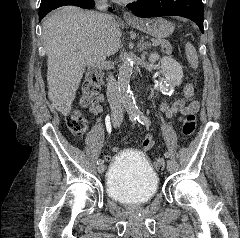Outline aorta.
Instances as JSON below:
<instances>
[{"label":"aorta","instance_id":"1","mask_svg":"<svg viewBox=\"0 0 240 238\" xmlns=\"http://www.w3.org/2000/svg\"><path fill=\"white\" fill-rule=\"evenodd\" d=\"M133 71V58L126 57L120 66L118 73V89L123 101L125 110L130 117H134L140 113L133 94L130 90V78Z\"/></svg>","mask_w":240,"mask_h":238}]
</instances>
